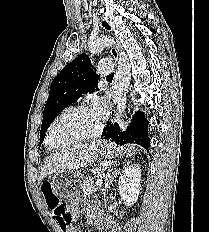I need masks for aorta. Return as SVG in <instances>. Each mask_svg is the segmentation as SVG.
Wrapping results in <instances>:
<instances>
[{"mask_svg": "<svg viewBox=\"0 0 209 232\" xmlns=\"http://www.w3.org/2000/svg\"><path fill=\"white\" fill-rule=\"evenodd\" d=\"M115 41L106 35H99L90 39L88 49L91 53H99L104 48L114 44ZM119 47V45H118ZM131 65L126 53L122 50L119 52L118 67L113 80L114 101L117 112V123L121 130H125L124 116L126 112L127 92L131 80Z\"/></svg>", "mask_w": 209, "mask_h": 232, "instance_id": "obj_1", "label": "aorta"}]
</instances>
